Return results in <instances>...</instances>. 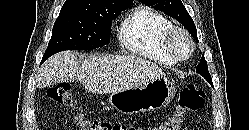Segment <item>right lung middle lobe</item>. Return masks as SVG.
<instances>
[{"mask_svg":"<svg viewBox=\"0 0 249 130\" xmlns=\"http://www.w3.org/2000/svg\"><path fill=\"white\" fill-rule=\"evenodd\" d=\"M131 4H113L97 11L62 8L42 62L63 50H93L110 42L112 19Z\"/></svg>","mask_w":249,"mask_h":130,"instance_id":"dd1d6c3e","label":"right lung middle lobe"}]
</instances>
